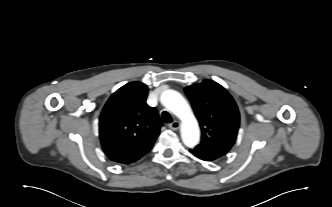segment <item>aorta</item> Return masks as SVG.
I'll return each instance as SVG.
<instances>
[{
  "label": "aorta",
  "mask_w": 332,
  "mask_h": 207,
  "mask_svg": "<svg viewBox=\"0 0 332 207\" xmlns=\"http://www.w3.org/2000/svg\"><path fill=\"white\" fill-rule=\"evenodd\" d=\"M160 100L167 110L181 120V138L183 143L189 148L195 147L200 140V129L198 121L187 101L179 92L171 89L165 90L161 94Z\"/></svg>",
  "instance_id": "obj_1"
}]
</instances>
